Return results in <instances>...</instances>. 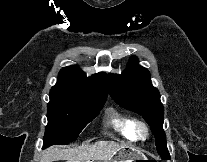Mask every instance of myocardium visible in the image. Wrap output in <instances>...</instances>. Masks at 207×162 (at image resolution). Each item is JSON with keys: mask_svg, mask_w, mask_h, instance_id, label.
<instances>
[{"mask_svg": "<svg viewBox=\"0 0 207 162\" xmlns=\"http://www.w3.org/2000/svg\"><path fill=\"white\" fill-rule=\"evenodd\" d=\"M134 137L137 140H145L149 135V130L145 122L137 120L133 127Z\"/></svg>", "mask_w": 207, "mask_h": 162, "instance_id": "1", "label": "myocardium"}]
</instances>
